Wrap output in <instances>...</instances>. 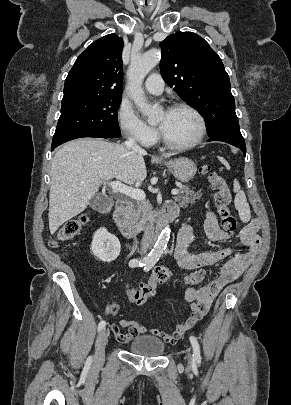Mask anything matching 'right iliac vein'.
Instances as JSON below:
<instances>
[{"label": "right iliac vein", "instance_id": "1", "mask_svg": "<svg viewBox=\"0 0 291 405\" xmlns=\"http://www.w3.org/2000/svg\"><path fill=\"white\" fill-rule=\"evenodd\" d=\"M108 341V331L106 329H102L97 337L96 340V360L98 362L103 361L104 359V354H105V346Z\"/></svg>", "mask_w": 291, "mask_h": 405}]
</instances>
